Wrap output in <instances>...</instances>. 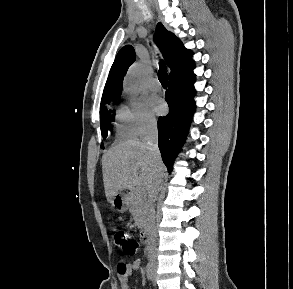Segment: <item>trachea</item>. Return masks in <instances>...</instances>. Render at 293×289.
<instances>
[{
  "instance_id": "obj_1",
  "label": "trachea",
  "mask_w": 293,
  "mask_h": 289,
  "mask_svg": "<svg viewBox=\"0 0 293 289\" xmlns=\"http://www.w3.org/2000/svg\"><path fill=\"white\" fill-rule=\"evenodd\" d=\"M158 78H159L160 83L163 86H167L168 74H167L166 70L163 68L162 65H160V69H159V72H158Z\"/></svg>"
}]
</instances>
